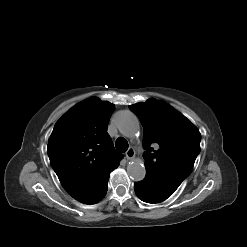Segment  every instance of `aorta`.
I'll return each mask as SVG.
<instances>
[{"label": "aorta", "instance_id": "1", "mask_svg": "<svg viewBox=\"0 0 247 247\" xmlns=\"http://www.w3.org/2000/svg\"><path fill=\"white\" fill-rule=\"evenodd\" d=\"M116 126L119 131L128 138L136 136L139 130V122L135 114L131 111H121L116 116ZM127 173L134 181H141L145 178L146 170L143 162L140 159H135L129 162Z\"/></svg>", "mask_w": 247, "mask_h": 247}]
</instances>
